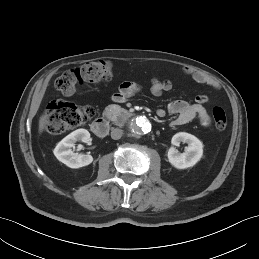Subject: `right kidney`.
Returning <instances> with one entry per match:
<instances>
[{
  "instance_id": "obj_1",
  "label": "right kidney",
  "mask_w": 259,
  "mask_h": 259,
  "mask_svg": "<svg viewBox=\"0 0 259 259\" xmlns=\"http://www.w3.org/2000/svg\"><path fill=\"white\" fill-rule=\"evenodd\" d=\"M90 133L86 129H77L63 138L55 147L56 158L70 168H80L92 163L93 157L88 154H75L71 148L77 141L87 142Z\"/></svg>"
}]
</instances>
